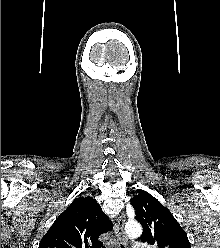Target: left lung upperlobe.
Returning a JSON list of instances; mask_svg holds the SVG:
<instances>
[{
    "label": "left lung upper lobe",
    "mask_w": 220,
    "mask_h": 248,
    "mask_svg": "<svg viewBox=\"0 0 220 248\" xmlns=\"http://www.w3.org/2000/svg\"><path fill=\"white\" fill-rule=\"evenodd\" d=\"M131 205L143 226L141 241L158 248H191L186 232L155 197L140 193L131 199Z\"/></svg>",
    "instance_id": "obj_1"
}]
</instances>
